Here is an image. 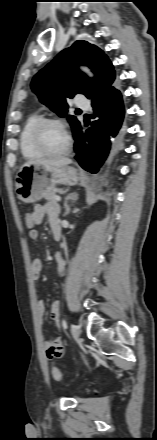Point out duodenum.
<instances>
[{
	"instance_id": "410a0bca",
	"label": "duodenum",
	"mask_w": 157,
	"mask_h": 440,
	"mask_svg": "<svg viewBox=\"0 0 157 440\" xmlns=\"http://www.w3.org/2000/svg\"><path fill=\"white\" fill-rule=\"evenodd\" d=\"M53 232V237L56 241H59L61 238V229H60V225L59 227H55L52 229Z\"/></svg>"
}]
</instances>
